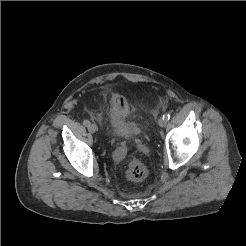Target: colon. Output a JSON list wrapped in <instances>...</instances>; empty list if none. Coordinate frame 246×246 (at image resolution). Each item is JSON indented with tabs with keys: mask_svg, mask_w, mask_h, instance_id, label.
<instances>
[{
	"mask_svg": "<svg viewBox=\"0 0 246 246\" xmlns=\"http://www.w3.org/2000/svg\"><path fill=\"white\" fill-rule=\"evenodd\" d=\"M120 103L123 105V102L120 100ZM147 176L146 166L139 160L134 159L129 163L127 169V178L134 182L142 181Z\"/></svg>",
	"mask_w": 246,
	"mask_h": 246,
	"instance_id": "5ec220e1",
	"label": "colon"
}]
</instances>
